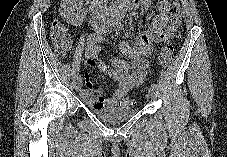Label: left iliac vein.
Listing matches in <instances>:
<instances>
[{"mask_svg": "<svg viewBox=\"0 0 227 157\" xmlns=\"http://www.w3.org/2000/svg\"><path fill=\"white\" fill-rule=\"evenodd\" d=\"M148 96H149V98H151V99H155L156 96H157V94H156V89L150 88V89L148 90Z\"/></svg>", "mask_w": 227, "mask_h": 157, "instance_id": "left-iliac-vein-1", "label": "left iliac vein"}]
</instances>
